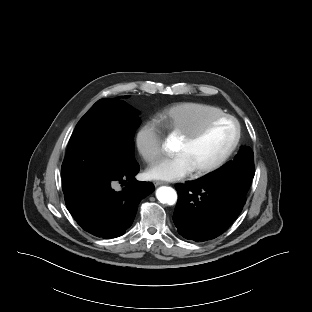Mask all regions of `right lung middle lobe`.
I'll return each mask as SVG.
<instances>
[{"instance_id":"dd1d6c3e","label":"right lung middle lobe","mask_w":312,"mask_h":312,"mask_svg":"<svg viewBox=\"0 0 312 312\" xmlns=\"http://www.w3.org/2000/svg\"><path fill=\"white\" fill-rule=\"evenodd\" d=\"M139 112L122 100L97 101L77 123L62 164L63 193L122 172L134 162Z\"/></svg>"}]
</instances>
